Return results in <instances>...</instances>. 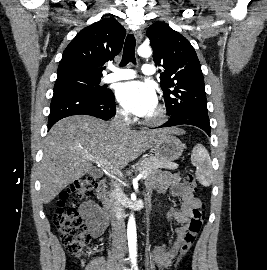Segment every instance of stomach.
Returning <instances> with one entry per match:
<instances>
[{
    "mask_svg": "<svg viewBox=\"0 0 267 270\" xmlns=\"http://www.w3.org/2000/svg\"><path fill=\"white\" fill-rule=\"evenodd\" d=\"M184 145L173 134H166L153 145V152L159 159L165 161L177 160L183 152Z\"/></svg>",
    "mask_w": 267,
    "mask_h": 270,
    "instance_id": "stomach-1",
    "label": "stomach"
}]
</instances>
